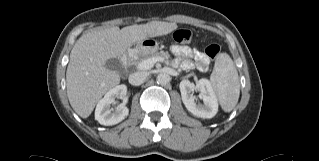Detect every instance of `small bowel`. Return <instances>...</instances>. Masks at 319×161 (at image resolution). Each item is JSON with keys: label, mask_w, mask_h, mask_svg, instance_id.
Wrapping results in <instances>:
<instances>
[{"label": "small bowel", "mask_w": 319, "mask_h": 161, "mask_svg": "<svg viewBox=\"0 0 319 161\" xmlns=\"http://www.w3.org/2000/svg\"><path fill=\"white\" fill-rule=\"evenodd\" d=\"M171 52L177 58L176 62L185 71L195 68L199 69L200 71L208 70L209 60L205 54L197 48L174 45L171 48ZM192 59H194V62Z\"/></svg>", "instance_id": "1"}]
</instances>
